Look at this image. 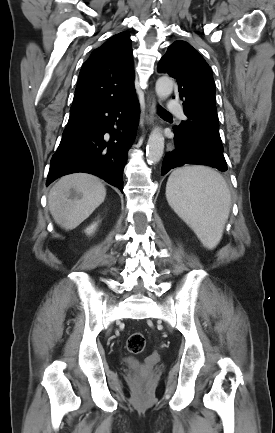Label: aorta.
<instances>
[{
    "mask_svg": "<svg viewBox=\"0 0 275 433\" xmlns=\"http://www.w3.org/2000/svg\"><path fill=\"white\" fill-rule=\"evenodd\" d=\"M174 82L169 77H160L156 82V94L160 99L167 98L172 92ZM164 152V137L159 128H155L148 139L146 153L148 161L152 164L158 163Z\"/></svg>",
    "mask_w": 275,
    "mask_h": 433,
    "instance_id": "762f6f07",
    "label": "aorta"
}]
</instances>
